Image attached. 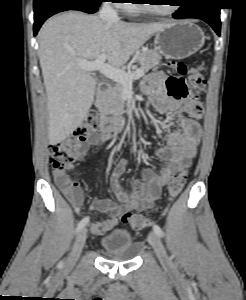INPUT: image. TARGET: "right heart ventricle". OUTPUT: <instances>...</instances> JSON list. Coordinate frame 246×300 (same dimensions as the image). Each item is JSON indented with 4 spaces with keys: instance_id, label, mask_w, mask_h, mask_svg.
Returning a JSON list of instances; mask_svg holds the SVG:
<instances>
[{
    "instance_id": "1",
    "label": "right heart ventricle",
    "mask_w": 246,
    "mask_h": 300,
    "mask_svg": "<svg viewBox=\"0 0 246 300\" xmlns=\"http://www.w3.org/2000/svg\"><path fill=\"white\" fill-rule=\"evenodd\" d=\"M137 9L138 8L135 5H126L125 6V10L132 14H136L138 12Z\"/></svg>"
}]
</instances>
